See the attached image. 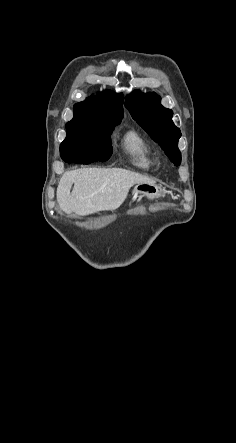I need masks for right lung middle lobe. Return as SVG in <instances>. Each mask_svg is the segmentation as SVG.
I'll return each mask as SVG.
<instances>
[{
    "label": "right lung middle lobe",
    "mask_w": 236,
    "mask_h": 443,
    "mask_svg": "<svg viewBox=\"0 0 236 443\" xmlns=\"http://www.w3.org/2000/svg\"><path fill=\"white\" fill-rule=\"evenodd\" d=\"M120 121L109 117L74 116L66 124L67 136L60 149L68 146L112 148L110 135Z\"/></svg>",
    "instance_id": "right-lung-middle-lobe-1"
}]
</instances>
